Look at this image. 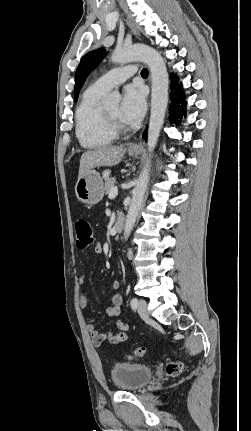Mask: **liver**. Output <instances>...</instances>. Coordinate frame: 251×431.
Instances as JSON below:
<instances>
[{"mask_svg":"<svg viewBox=\"0 0 251 431\" xmlns=\"http://www.w3.org/2000/svg\"><path fill=\"white\" fill-rule=\"evenodd\" d=\"M125 151L124 146H103L84 152L80 159L78 179L95 167H111L119 164Z\"/></svg>","mask_w":251,"mask_h":431,"instance_id":"liver-1","label":"liver"}]
</instances>
